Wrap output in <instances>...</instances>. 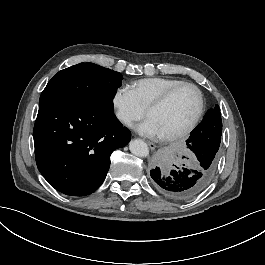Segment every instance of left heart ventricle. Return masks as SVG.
I'll return each mask as SVG.
<instances>
[{
	"label": "left heart ventricle",
	"mask_w": 265,
	"mask_h": 265,
	"mask_svg": "<svg viewBox=\"0 0 265 265\" xmlns=\"http://www.w3.org/2000/svg\"><path fill=\"white\" fill-rule=\"evenodd\" d=\"M198 109L195 91L186 88L179 92L166 106L149 113L148 118L155 120L163 136L183 130L194 118Z\"/></svg>",
	"instance_id": "b2bd125f"
}]
</instances>
